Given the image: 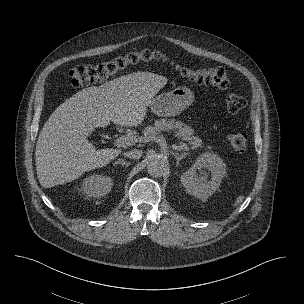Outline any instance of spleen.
<instances>
[{
	"mask_svg": "<svg viewBox=\"0 0 304 304\" xmlns=\"http://www.w3.org/2000/svg\"><path fill=\"white\" fill-rule=\"evenodd\" d=\"M243 200H244V196L241 195V196L237 197L236 201L233 204V207L238 206Z\"/></svg>",
	"mask_w": 304,
	"mask_h": 304,
	"instance_id": "obj_1",
	"label": "spleen"
}]
</instances>
